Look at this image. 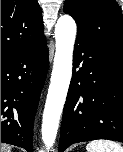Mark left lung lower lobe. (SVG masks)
<instances>
[{
	"mask_svg": "<svg viewBox=\"0 0 123 152\" xmlns=\"http://www.w3.org/2000/svg\"><path fill=\"white\" fill-rule=\"evenodd\" d=\"M59 152L96 139L123 142V51L77 30Z\"/></svg>",
	"mask_w": 123,
	"mask_h": 152,
	"instance_id": "0a47b994",
	"label": "left lung lower lobe"
}]
</instances>
